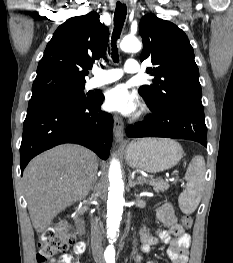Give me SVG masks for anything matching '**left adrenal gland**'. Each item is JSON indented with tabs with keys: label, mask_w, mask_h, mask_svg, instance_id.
<instances>
[{
	"label": "left adrenal gland",
	"mask_w": 233,
	"mask_h": 263,
	"mask_svg": "<svg viewBox=\"0 0 233 263\" xmlns=\"http://www.w3.org/2000/svg\"><path fill=\"white\" fill-rule=\"evenodd\" d=\"M142 185L143 184V182L142 181H133L132 179H131V177H129V187L130 188H133V187H135L136 185Z\"/></svg>",
	"instance_id": "a2214340"
}]
</instances>
